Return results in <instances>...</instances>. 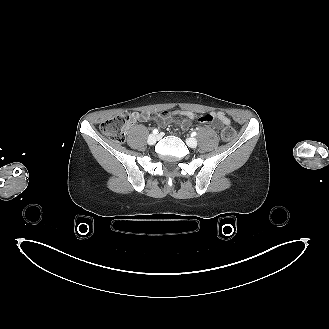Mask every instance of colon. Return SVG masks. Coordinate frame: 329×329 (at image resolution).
I'll return each mask as SVG.
<instances>
[{"label": "colon", "mask_w": 329, "mask_h": 329, "mask_svg": "<svg viewBox=\"0 0 329 329\" xmlns=\"http://www.w3.org/2000/svg\"><path fill=\"white\" fill-rule=\"evenodd\" d=\"M134 120L135 117L133 114L122 113L102 122L100 128L106 137L117 142H123L126 135V129L131 123L134 122ZM221 135L224 140L229 141L234 137L235 131L232 127L225 126L221 132Z\"/></svg>", "instance_id": "5ec220e1"}]
</instances>
